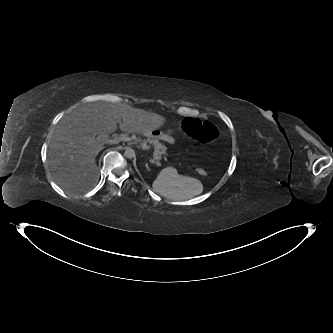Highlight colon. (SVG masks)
Masks as SVG:
<instances>
[{"label": "colon", "mask_w": 333, "mask_h": 333, "mask_svg": "<svg viewBox=\"0 0 333 333\" xmlns=\"http://www.w3.org/2000/svg\"><path fill=\"white\" fill-rule=\"evenodd\" d=\"M181 127L185 134L203 143L215 142L220 137L218 128L207 121L185 118L181 123ZM197 172L200 175L205 174V171L202 169H198Z\"/></svg>", "instance_id": "5ec220e1"}]
</instances>
